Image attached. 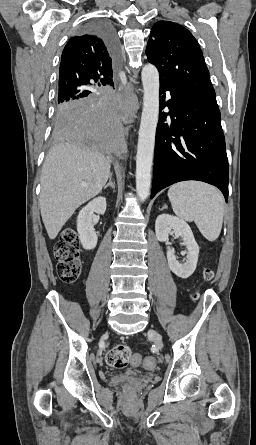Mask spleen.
Instances as JSON below:
<instances>
[{
  "instance_id": "obj_1",
  "label": "spleen",
  "mask_w": 256,
  "mask_h": 445,
  "mask_svg": "<svg viewBox=\"0 0 256 445\" xmlns=\"http://www.w3.org/2000/svg\"><path fill=\"white\" fill-rule=\"evenodd\" d=\"M168 198L174 213L183 220L194 221L207 240L219 237L225 201L217 188L202 182H179L169 188Z\"/></svg>"
}]
</instances>
